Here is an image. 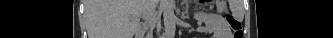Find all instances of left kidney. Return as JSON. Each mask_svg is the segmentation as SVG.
Segmentation results:
<instances>
[{
	"instance_id": "1",
	"label": "left kidney",
	"mask_w": 333,
	"mask_h": 38,
	"mask_svg": "<svg viewBox=\"0 0 333 38\" xmlns=\"http://www.w3.org/2000/svg\"><path fill=\"white\" fill-rule=\"evenodd\" d=\"M194 19L205 23L206 32L213 33L214 38H227L230 29L225 19L218 14L206 13L204 11L194 12Z\"/></svg>"
}]
</instances>
